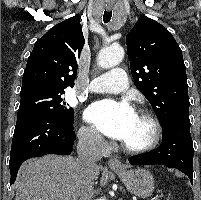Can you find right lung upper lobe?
Wrapping results in <instances>:
<instances>
[{
  "label": "right lung upper lobe",
  "instance_id": "right-lung-upper-lobe-1",
  "mask_svg": "<svg viewBox=\"0 0 201 200\" xmlns=\"http://www.w3.org/2000/svg\"><path fill=\"white\" fill-rule=\"evenodd\" d=\"M84 43L77 15L51 28L34 45L23 74L21 93L73 87Z\"/></svg>",
  "mask_w": 201,
  "mask_h": 200
}]
</instances>
